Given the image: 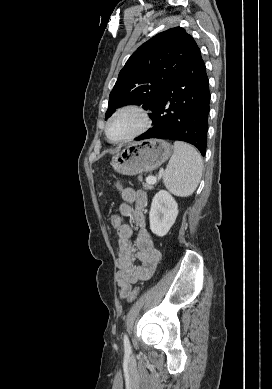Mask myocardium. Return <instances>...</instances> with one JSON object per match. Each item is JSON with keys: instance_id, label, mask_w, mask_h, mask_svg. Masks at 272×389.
Instances as JSON below:
<instances>
[{"instance_id": "1", "label": "myocardium", "mask_w": 272, "mask_h": 389, "mask_svg": "<svg viewBox=\"0 0 272 389\" xmlns=\"http://www.w3.org/2000/svg\"><path fill=\"white\" fill-rule=\"evenodd\" d=\"M127 112H132V113H135L136 115H138V117L140 118L139 126L130 135H128L122 139H117V140L112 139L110 137V134H109V128H110L112 121L120 114L127 113ZM150 125H151V118H150L148 111L144 107L137 105V104H127V105L119 107L111 114V116L109 117V119L107 120L106 125H105V135H106L107 139L109 140V142H111V143H114V144L126 143V142L132 141L135 138L144 134L149 129Z\"/></svg>"}]
</instances>
